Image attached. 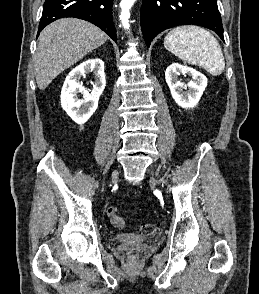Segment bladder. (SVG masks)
I'll return each mask as SVG.
<instances>
[{
	"mask_svg": "<svg viewBox=\"0 0 259 294\" xmlns=\"http://www.w3.org/2000/svg\"><path fill=\"white\" fill-rule=\"evenodd\" d=\"M113 239L118 242L122 241H144L146 239V236H136L134 234L130 233H119L116 234Z\"/></svg>",
	"mask_w": 259,
	"mask_h": 294,
	"instance_id": "obj_1",
	"label": "bladder"
}]
</instances>
